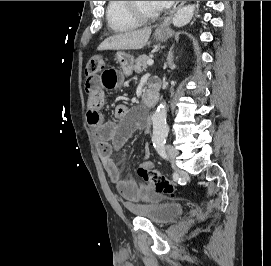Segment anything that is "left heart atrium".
<instances>
[{
    "label": "left heart atrium",
    "mask_w": 271,
    "mask_h": 266,
    "mask_svg": "<svg viewBox=\"0 0 271 266\" xmlns=\"http://www.w3.org/2000/svg\"><path fill=\"white\" fill-rule=\"evenodd\" d=\"M151 2L155 10L161 11L171 6L174 1H151Z\"/></svg>",
    "instance_id": "1"
}]
</instances>
